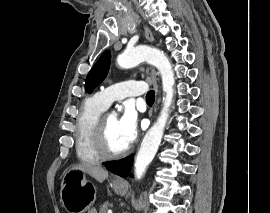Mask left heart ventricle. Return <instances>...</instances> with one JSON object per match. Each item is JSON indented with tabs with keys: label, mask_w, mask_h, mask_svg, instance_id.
<instances>
[{
	"label": "left heart ventricle",
	"mask_w": 270,
	"mask_h": 213,
	"mask_svg": "<svg viewBox=\"0 0 270 213\" xmlns=\"http://www.w3.org/2000/svg\"><path fill=\"white\" fill-rule=\"evenodd\" d=\"M106 143L112 152H119L126 148L118 130V120L114 117H105Z\"/></svg>",
	"instance_id": "b2bd125f"
}]
</instances>
